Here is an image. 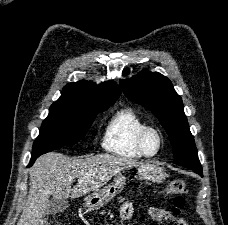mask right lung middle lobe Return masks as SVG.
Returning <instances> with one entry per match:
<instances>
[{"instance_id":"right-lung-middle-lobe-1","label":"right lung middle lobe","mask_w":228,"mask_h":225,"mask_svg":"<svg viewBox=\"0 0 228 225\" xmlns=\"http://www.w3.org/2000/svg\"><path fill=\"white\" fill-rule=\"evenodd\" d=\"M110 105H89L73 102H54L43 121L32 153L50 151L74 145L84 138L98 113Z\"/></svg>"}]
</instances>
